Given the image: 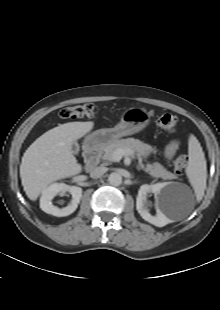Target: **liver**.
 <instances>
[{
    "label": "liver",
    "mask_w": 220,
    "mask_h": 310,
    "mask_svg": "<svg viewBox=\"0 0 220 310\" xmlns=\"http://www.w3.org/2000/svg\"><path fill=\"white\" fill-rule=\"evenodd\" d=\"M94 123L69 122L45 132L25 151L20 177L27 197L35 201L54 181L82 171L72 153V144L92 130Z\"/></svg>",
    "instance_id": "obj_1"
}]
</instances>
